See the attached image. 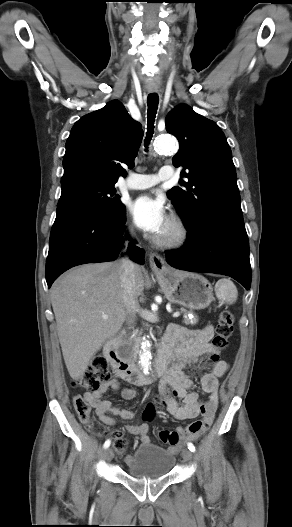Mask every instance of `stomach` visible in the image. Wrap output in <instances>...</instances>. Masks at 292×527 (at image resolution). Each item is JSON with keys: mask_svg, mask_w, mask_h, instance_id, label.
<instances>
[{"mask_svg": "<svg viewBox=\"0 0 292 527\" xmlns=\"http://www.w3.org/2000/svg\"><path fill=\"white\" fill-rule=\"evenodd\" d=\"M166 298L189 309L208 307L214 300L213 288L202 275L167 268L155 273Z\"/></svg>", "mask_w": 292, "mask_h": 527, "instance_id": "1", "label": "stomach"}]
</instances>
